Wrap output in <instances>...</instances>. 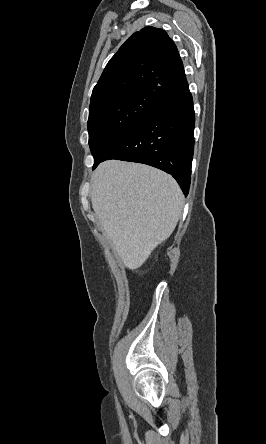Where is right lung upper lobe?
I'll list each match as a JSON object with an SVG mask.
<instances>
[{
	"label": "right lung upper lobe",
	"instance_id": "obj_1",
	"mask_svg": "<svg viewBox=\"0 0 266 444\" xmlns=\"http://www.w3.org/2000/svg\"><path fill=\"white\" fill-rule=\"evenodd\" d=\"M188 88L173 40L159 28L135 32L119 48L95 85L90 108L124 93L142 91L162 101Z\"/></svg>",
	"mask_w": 266,
	"mask_h": 444
}]
</instances>
